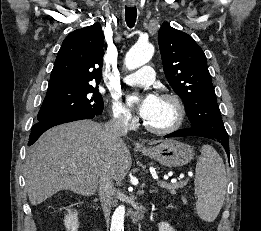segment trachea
Masks as SVG:
<instances>
[{"label":"trachea","mask_w":261,"mask_h":231,"mask_svg":"<svg viewBox=\"0 0 261 231\" xmlns=\"http://www.w3.org/2000/svg\"><path fill=\"white\" fill-rule=\"evenodd\" d=\"M136 17H137L136 7L125 8V21L129 28H132L135 25Z\"/></svg>","instance_id":"3493384b"}]
</instances>
